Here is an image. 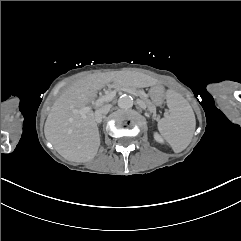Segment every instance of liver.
<instances>
[{"mask_svg":"<svg viewBox=\"0 0 241 241\" xmlns=\"http://www.w3.org/2000/svg\"><path fill=\"white\" fill-rule=\"evenodd\" d=\"M122 79L121 74L114 72L91 74L76 81L55 101L44 134L62 157L73 162H88L95 157L100 137L94 113L90 110L83 118L72 109L86 107L96 97L97 90L120 84Z\"/></svg>","mask_w":241,"mask_h":241,"instance_id":"6515ba94","label":"liver"}]
</instances>
